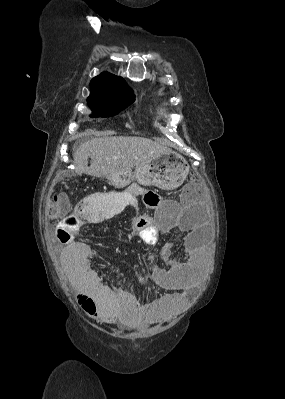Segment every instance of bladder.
Segmentation results:
<instances>
[{
	"label": "bladder",
	"mask_w": 285,
	"mask_h": 399,
	"mask_svg": "<svg viewBox=\"0 0 285 399\" xmlns=\"http://www.w3.org/2000/svg\"><path fill=\"white\" fill-rule=\"evenodd\" d=\"M121 325L123 326V328H132V326L128 323L125 322H121Z\"/></svg>",
	"instance_id": "31cf9c89"
}]
</instances>
